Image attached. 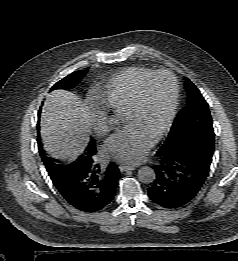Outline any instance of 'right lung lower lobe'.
<instances>
[{"label":"right lung lower lobe","mask_w":238,"mask_h":261,"mask_svg":"<svg viewBox=\"0 0 238 261\" xmlns=\"http://www.w3.org/2000/svg\"><path fill=\"white\" fill-rule=\"evenodd\" d=\"M95 153L81 155L58 179L51 178L63 198L83 212L91 213L107 208L114 199L120 176L114 163L102 169L94 161Z\"/></svg>","instance_id":"obj_1"}]
</instances>
